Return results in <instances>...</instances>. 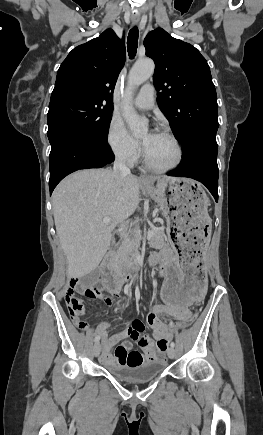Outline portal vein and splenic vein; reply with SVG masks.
Returning <instances> with one entry per match:
<instances>
[{
	"mask_svg": "<svg viewBox=\"0 0 263 435\" xmlns=\"http://www.w3.org/2000/svg\"><path fill=\"white\" fill-rule=\"evenodd\" d=\"M110 221H111L110 218H104V219L102 220L103 223H109ZM137 235H138L139 237H141V231H140V230L137 231ZM152 235H153V230L150 229V230L148 231V233H147V237H148V238H151Z\"/></svg>",
	"mask_w": 263,
	"mask_h": 435,
	"instance_id": "obj_1",
	"label": "portal vein and splenic vein"
}]
</instances>
